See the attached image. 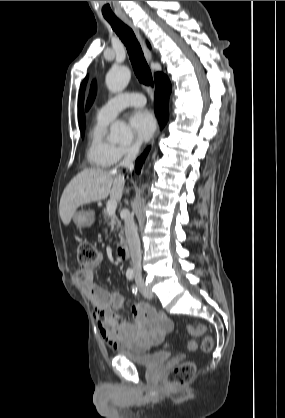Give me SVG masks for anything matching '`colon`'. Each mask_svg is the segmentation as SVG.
Returning a JSON list of instances; mask_svg holds the SVG:
<instances>
[{"mask_svg": "<svg viewBox=\"0 0 285 418\" xmlns=\"http://www.w3.org/2000/svg\"><path fill=\"white\" fill-rule=\"evenodd\" d=\"M99 255L96 248L87 241H81L78 244L77 258L83 265L94 263L98 259ZM187 332L192 337H202L201 349L203 351H209L213 347V337L207 332V328L204 325L199 326H186ZM195 363L193 361H185L182 364L173 368L166 377V384L171 387H180L188 384L195 374Z\"/></svg>", "mask_w": 285, "mask_h": 418, "instance_id": "1", "label": "colon"}]
</instances>
